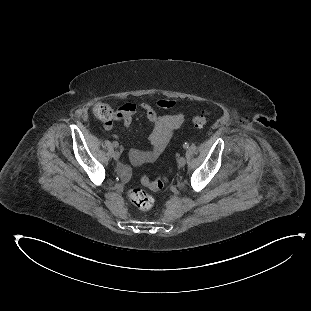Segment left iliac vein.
<instances>
[{
  "label": "left iliac vein",
  "mask_w": 311,
  "mask_h": 311,
  "mask_svg": "<svg viewBox=\"0 0 311 311\" xmlns=\"http://www.w3.org/2000/svg\"><path fill=\"white\" fill-rule=\"evenodd\" d=\"M177 163H178V167L179 168H183L185 166V164H186V159L184 157H180L178 159Z\"/></svg>",
  "instance_id": "4c4485c4"
}]
</instances>
